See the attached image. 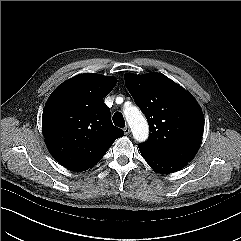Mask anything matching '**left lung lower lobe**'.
Segmentation results:
<instances>
[{
	"label": "left lung lower lobe",
	"instance_id": "obj_1",
	"mask_svg": "<svg viewBox=\"0 0 241 241\" xmlns=\"http://www.w3.org/2000/svg\"><path fill=\"white\" fill-rule=\"evenodd\" d=\"M138 146L142 157L146 160L149 166H151L152 169L158 173H173L180 170L184 165H186L177 161L161 157L158 154H155L140 145Z\"/></svg>",
	"mask_w": 241,
	"mask_h": 241
}]
</instances>
